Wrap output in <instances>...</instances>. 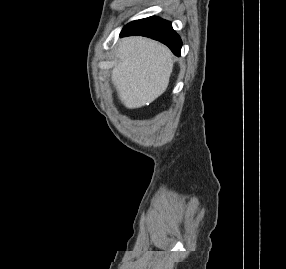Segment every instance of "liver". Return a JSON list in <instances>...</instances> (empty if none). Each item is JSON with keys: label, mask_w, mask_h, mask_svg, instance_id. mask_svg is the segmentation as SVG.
Masks as SVG:
<instances>
[{"label": "liver", "mask_w": 286, "mask_h": 269, "mask_svg": "<svg viewBox=\"0 0 286 269\" xmlns=\"http://www.w3.org/2000/svg\"><path fill=\"white\" fill-rule=\"evenodd\" d=\"M111 80L121 102L130 109L153 102L165 92L173 69L169 49L144 37L119 42Z\"/></svg>", "instance_id": "obj_1"}]
</instances>
